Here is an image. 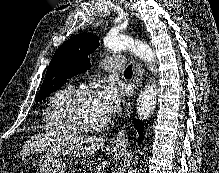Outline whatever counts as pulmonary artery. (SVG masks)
Here are the masks:
<instances>
[{
	"instance_id": "pulmonary-artery-1",
	"label": "pulmonary artery",
	"mask_w": 219,
	"mask_h": 173,
	"mask_svg": "<svg viewBox=\"0 0 219 173\" xmlns=\"http://www.w3.org/2000/svg\"><path fill=\"white\" fill-rule=\"evenodd\" d=\"M126 60L121 56H106L102 66L106 71H122L125 69Z\"/></svg>"
}]
</instances>
